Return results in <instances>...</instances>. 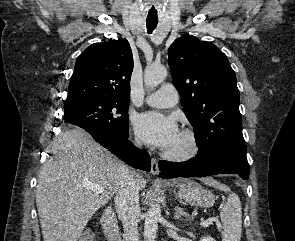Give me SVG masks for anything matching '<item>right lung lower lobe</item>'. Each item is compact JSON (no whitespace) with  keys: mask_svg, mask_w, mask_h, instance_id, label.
Listing matches in <instances>:
<instances>
[{"mask_svg":"<svg viewBox=\"0 0 295 241\" xmlns=\"http://www.w3.org/2000/svg\"><path fill=\"white\" fill-rule=\"evenodd\" d=\"M99 144L116 154L128 165L144 171H150V156L147 152L136 148L128 141L127 135H115L97 128H84Z\"/></svg>","mask_w":295,"mask_h":241,"instance_id":"98d812e1","label":"right lung lower lobe"}]
</instances>
